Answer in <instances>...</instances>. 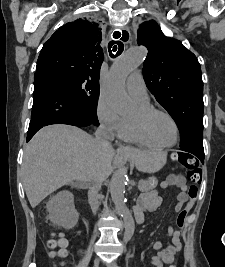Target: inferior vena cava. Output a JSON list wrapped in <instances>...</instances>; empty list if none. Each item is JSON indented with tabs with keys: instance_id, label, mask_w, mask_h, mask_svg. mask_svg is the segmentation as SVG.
<instances>
[{
	"instance_id": "obj_1",
	"label": "inferior vena cava",
	"mask_w": 225,
	"mask_h": 267,
	"mask_svg": "<svg viewBox=\"0 0 225 267\" xmlns=\"http://www.w3.org/2000/svg\"><path fill=\"white\" fill-rule=\"evenodd\" d=\"M114 139V134L111 129L101 125L95 132V142L101 151H106L112 147L111 141ZM106 179V171L99 167L93 173L89 186V198L92 202V210L95 212L98 209V191L102 182Z\"/></svg>"
}]
</instances>
